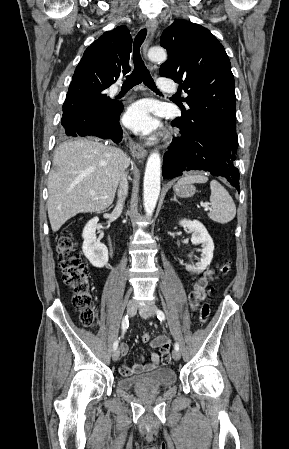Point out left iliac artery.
Returning <instances> with one entry per match:
<instances>
[{
  "mask_svg": "<svg viewBox=\"0 0 289 449\" xmlns=\"http://www.w3.org/2000/svg\"><path fill=\"white\" fill-rule=\"evenodd\" d=\"M156 313H157V317L160 321L165 320V314L161 310L157 309ZM174 349L179 350V344L177 342L174 344Z\"/></svg>",
  "mask_w": 289,
  "mask_h": 449,
  "instance_id": "44dca946",
  "label": "left iliac artery"
}]
</instances>
